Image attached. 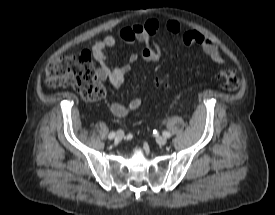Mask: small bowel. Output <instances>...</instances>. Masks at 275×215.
I'll list each match as a JSON object with an SVG mask.
<instances>
[{
    "label": "small bowel",
    "mask_w": 275,
    "mask_h": 215,
    "mask_svg": "<svg viewBox=\"0 0 275 215\" xmlns=\"http://www.w3.org/2000/svg\"><path fill=\"white\" fill-rule=\"evenodd\" d=\"M165 27L167 32L172 35H177L181 31L180 23L174 19L167 20ZM158 31L159 22L156 19H148L143 23H135L121 28L119 37L123 42L142 46L141 52L132 53L129 56V62L121 67H111L105 55L107 49L114 48L117 45V39L112 35H107L96 42L93 45L92 52L98 64L97 77L104 82H109L115 88H120L132 65L139 59L152 64L157 63L162 54V47L156 38ZM182 40L186 46L201 47L203 52L215 63H224V57L218 47L201 33L194 30L186 31L182 35ZM140 106L141 99L134 98L127 106L112 102L109 108L115 116L124 117L130 110H136Z\"/></svg>",
    "instance_id": "obj_1"
}]
</instances>
